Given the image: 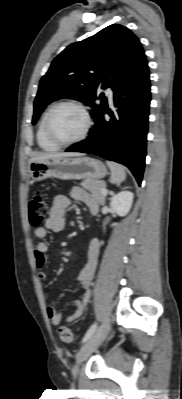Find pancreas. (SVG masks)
Instances as JSON below:
<instances>
[{"label":"pancreas","mask_w":182,"mask_h":399,"mask_svg":"<svg viewBox=\"0 0 182 399\" xmlns=\"http://www.w3.org/2000/svg\"><path fill=\"white\" fill-rule=\"evenodd\" d=\"M81 186L91 192L101 204L104 203L105 195L103 194V191L106 190V184L104 181L96 179H86L81 182Z\"/></svg>","instance_id":"cf45deb5"}]
</instances>
